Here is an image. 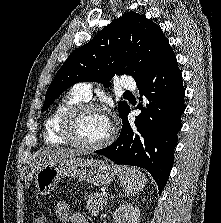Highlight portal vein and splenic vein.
I'll use <instances>...</instances> for the list:
<instances>
[{"label":"portal vein and splenic vein","instance_id":"obj_1","mask_svg":"<svg viewBox=\"0 0 221 223\" xmlns=\"http://www.w3.org/2000/svg\"><path fill=\"white\" fill-rule=\"evenodd\" d=\"M102 195L105 196V197H107V193L106 192H103Z\"/></svg>","mask_w":221,"mask_h":223}]
</instances>
